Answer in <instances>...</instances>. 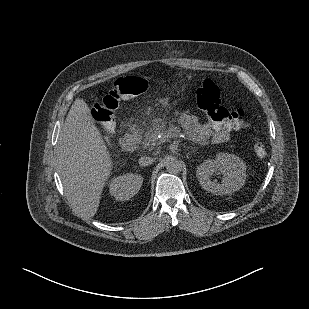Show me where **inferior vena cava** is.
<instances>
[{
  "label": "inferior vena cava",
  "instance_id": "obj_1",
  "mask_svg": "<svg viewBox=\"0 0 309 309\" xmlns=\"http://www.w3.org/2000/svg\"><path fill=\"white\" fill-rule=\"evenodd\" d=\"M154 161H155V158L142 156L141 158H139L138 163L140 166L145 167V166L151 165Z\"/></svg>",
  "mask_w": 309,
  "mask_h": 309
}]
</instances>
